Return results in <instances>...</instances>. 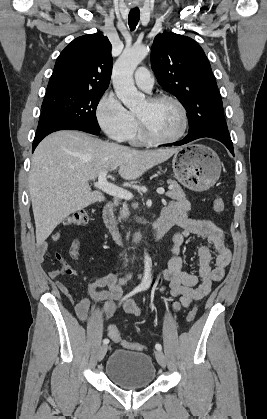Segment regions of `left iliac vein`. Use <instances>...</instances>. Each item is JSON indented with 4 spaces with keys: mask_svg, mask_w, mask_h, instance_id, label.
<instances>
[{
    "mask_svg": "<svg viewBox=\"0 0 267 419\" xmlns=\"http://www.w3.org/2000/svg\"><path fill=\"white\" fill-rule=\"evenodd\" d=\"M155 356H156V359H157L159 365H161L162 367H165L166 366V357H165L164 353L160 350H157L155 352Z\"/></svg>",
    "mask_w": 267,
    "mask_h": 419,
    "instance_id": "obj_1",
    "label": "left iliac vein"
}]
</instances>
